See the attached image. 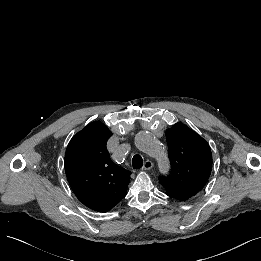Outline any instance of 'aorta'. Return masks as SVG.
Returning <instances> with one entry per match:
<instances>
[{
  "mask_svg": "<svg viewBox=\"0 0 261 261\" xmlns=\"http://www.w3.org/2000/svg\"><path fill=\"white\" fill-rule=\"evenodd\" d=\"M135 146L138 150L145 152L150 156L156 157L160 172H167L168 162L166 155L164 153H160L161 146L155 137L148 132H140L135 137Z\"/></svg>",
  "mask_w": 261,
  "mask_h": 261,
  "instance_id": "762f6f07",
  "label": "aorta"
}]
</instances>
